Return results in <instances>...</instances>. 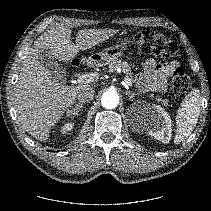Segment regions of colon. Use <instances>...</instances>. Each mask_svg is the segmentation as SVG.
<instances>
[{"instance_id": "5ec220e1", "label": "colon", "mask_w": 211, "mask_h": 211, "mask_svg": "<svg viewBox=\"0 0 211 211\" xmlns=\"http://www.w3.org/2000/svg\"><path fill=\"white\" fill-rule=\"evenodd\" d=\"M135 39L138 48L145 54L159 56L164 59L179 56L178 44L158 31L143 28L136 33ZM171 85L176 96H183L190 89L191 81L182 68H175L171 76Z\"/></svg>"}]
</instances>
